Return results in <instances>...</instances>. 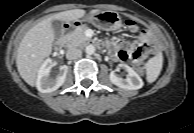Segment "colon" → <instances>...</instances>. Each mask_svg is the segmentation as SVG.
Returning <instances> with one entry per match:
<instances>
[{
  "mask_svg": "<svg viewBox=\"0 0 194 133\" xmlns=\"http://www.w3.org/2000/svg\"><path fill=\"white\" fill-rule=\"evenodd\" d=\"M126 26H127L131 31H136V30L138 29L137 23H136L134 20H132V19L126 20ZM136 68H137L138 72H140V73H143V72H144L141 63H137V64H136Z\"/></svg>",
  "mask_w": 194,
  "mask_h": 133,
  "instance_id": "obj_1",
  "label": "colon"
}]
</instances>
